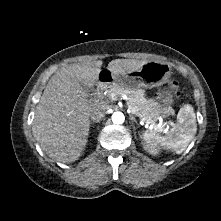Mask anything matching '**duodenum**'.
Listing matches in <instances>:
<instances>
[{
    "label": "duodenum",
    "instance_id": "obj_1",
    "mask_svg": "<svg viewBox=\"0 0 221 221\" xmlns=\"http://www.w3.org/2000/svg\"><path fill=\"white\" fill-rule=\"evenodd\" d=\"M112 80L111 75L108 73H103L99 76L98 88H103L107 83Z\"/></svg>",
    "mask_w": 221,
    "mask_h": 221
}]
</instances>
